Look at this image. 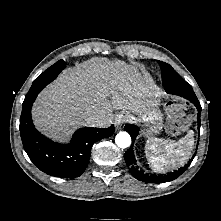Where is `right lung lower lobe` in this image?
Instances as JSON below:
<instances>
[{"label":"right lung lower lobe","instance_id":"right-lung-lower-lobe-1","mask_svg":"<svg viewBox=\"0 0 221 221\" xmlns=\"http://www.w3.org/2000/svg\"><path fill=\"white\" fill-rule=\"evenodd\" d=\"M33 102L23 105L20 117V135L27 155L36 167L48 175L64 178L80 176L89 163L93 144L112 136L114 126L80 128L70 144H59L35 129L31 118Z\"/></svg>","mask_w":221,"mask_h":221}]
</instances>
